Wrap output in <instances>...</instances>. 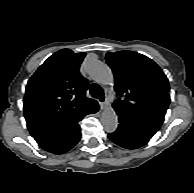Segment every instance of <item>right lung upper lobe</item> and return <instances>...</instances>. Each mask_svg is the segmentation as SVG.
Segmentation results:
<instances>
[{"instance_id":"cb5924a9","label":"right lung upper lobe","mask_w":194,"mask_h":193,"mask_svg":"<svg viewBox=\"0 0 194 193\" xmlns=\"http://www.w3.org/2000/svg\"><path fill=\"white\" fill-rule=\"evenodd\" d=\"M85 55L62 49L29 79L23 108L30 132L58 124L97 103L85 96L88 80L79 73Z\"/></svg>"}]
</instances>
